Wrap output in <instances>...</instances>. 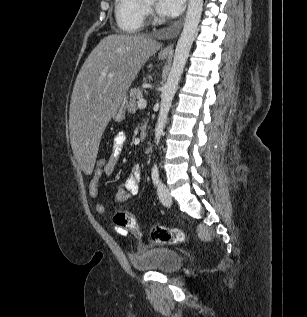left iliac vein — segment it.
I'll list each match as a JSON object with an SVG mask.
<instances>
[{
	"label": "left iliac vein",
	"mask_w": 307,
	"mask_h": 317,
	"mask_svg": "<svg viewBox=\"0 0 307 317\" xmlns=\"http://www.w3.org/2000/svg\"><path fill=\"white\" fill-rule=\"evenodd\" d=\"M158 196L163 205L170 206L172 204V197L170 195L169 189L162 182H160L158 185Z\"/></svg>",
	"instance_id": "left-iliac-vein-1"
}]
</instances>
